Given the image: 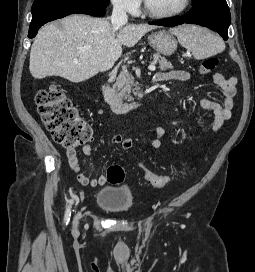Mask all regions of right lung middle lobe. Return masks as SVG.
I'll return each mask as SVG.
<instances>
[{
	"label": "right lung middle lobe",
	"instance_id": "obj_1",
	"mask_svg": "<svg viewBox=\"0 0 255 272\" xmlns=\"http://www.w3.org/2000/svg\"><path fill=\"white\" fill-rule=\"evenodd\" d=\"M85 1L92 2V3H98L104 7H107L110 2V0H85Z\"/></svg>",
	"mask_w": 255,
	"mask_h": 272
}]
</instances>
